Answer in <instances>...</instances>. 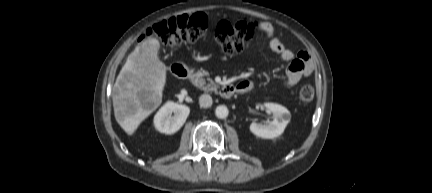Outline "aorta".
<instances>
[{
  "label": "aorta",
  "mask_w": 432,
  "mask_h": 193,
  "mask_svg": "<svg viewBox=\"0 0 432 193\" xmlns=\"http://www.w3.org/2000/svg\"><path fill=\"white\" fill-rule=\"evenodd\" d=\"M228 114H229V110L225 105H219L215 109V115L220 119L226 118Z\"/></svg>",
  "instance_id": "obj_1"
}]
</instances>
